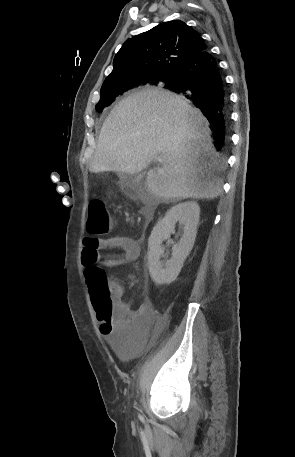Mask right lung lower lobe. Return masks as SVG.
Masks as SVG:
<instances>
[{
  "instance_id": "98d812e1",
  "label": "right lung lower lobe",
  "mask_w": 295,
  "mask_h": 457,
  "mask_svg": "<svg viewBox=\"0 0 295 457\" xmlns=\"http://www.w3.org/2000/svg\"><path fill=\"white\" fill-rule=\"evenodd\" d=\"M200 108L213 128L216 149L225 151L229 121L228 94L215 58L206 50L197 54L177 71L174 81L166 87Z\"/></svg>"
}]
</instances>
